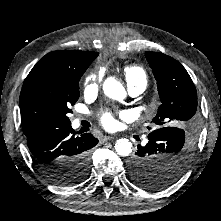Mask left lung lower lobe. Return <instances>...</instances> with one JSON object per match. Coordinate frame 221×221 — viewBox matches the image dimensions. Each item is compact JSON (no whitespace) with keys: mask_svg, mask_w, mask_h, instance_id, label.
Wrapping results in <instances>:
<instances>
[{"mask_svg":"<svg viewBox=\"0 0 221 221\" xmlns=\"http://www.w3.org/2000/svg\"><path fill=\"white\" fill-rule=\"evenodd\" d=\"M166 128L160 129V131H157L153 136H150L149 142L147 144H156L159 142L161 138H176L174 135L176 134L175 131L173 130H166ZM146 144V145H147ZM145 146L138 145V150L131 159L129 163V170H130V176L131 179L133 176H138V177H148V182L152 187H156L158 184H160L162 179L169 178L166 175H162L160 172L148 169V165L146 164L145 160L142 158L144 151L146 149ZM147 171H151L152 173H149Z\"/></svg>","mask_w":221,"mask_h":221,"instance_id":"obj_1","label":"left lung lower lobe"}]
</instances>
